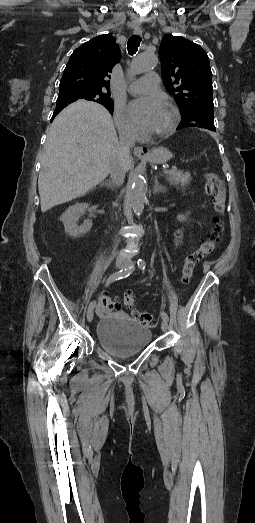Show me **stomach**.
Here are the masks:
<instances>
[{
	"label": "stomach",
	"instance_id": "1",
	"mask_svg": "<svg viewBox=\"0 0 255 523\" xmlns=\"http://www.w3.org/2000/svg\"><path fill=\"white\" fill-rule=\"evenodd\" d=\"M137 158L147 160L150 164H165L171 158V154L167 148H153L150 152L144 150L143 156H137Z\"/></svg>",
	"mask_w": 255,
	"mask_h": 523
}]
</instances>
